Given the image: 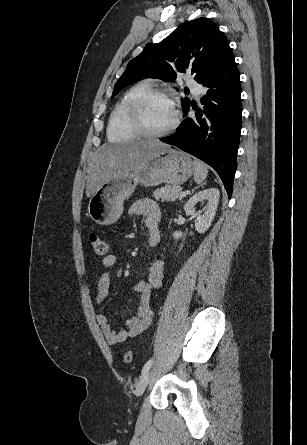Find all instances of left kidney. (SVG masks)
Returning a JSON list of instances; mask_svg holds the SVG:
<instances>
[{
    "mask_svg": "<svg viewBox=\"0 0 307 445\" xmlns=\"http://www.w3.org/2000/svg\"><path fill=\"white\" fill-rule=\"evenodd\" d=\"M199 200H208L203 214H201V212H196L195 210V204H197ZM218 200V188H205V190H200V192H196V194H193V196L189 198L188 202H186L184 206L186 214H192V216H196L195 231H198V233H206L209 227H211L212 220L217 210ZM182 235L183 233H181V231H175L173 237L174 239H180ZM190 235H192V233H190Z\"/></svg>",
    "mask_w": 307,
    "mask_h": 445,
    "instance_id": "obj_1",
    "label": "left kidney"
}]
</instances>
